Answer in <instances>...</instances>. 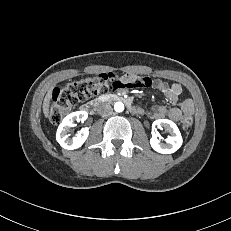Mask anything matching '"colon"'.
<instances>
[{
  "mask_svg": "<svg viewBox=\"0 0 231 231\" xmlns=\"http://www.w3.org/2000/svg\"><path fill=\"white\" fill-rule=\"evenodd\" d=\"M117 80H119V78L114 74L103 73L83 76L56 87L52 92L49 102L50 122L52 124H58L62 118L79 103L97 95L116 90ZM192 123V115L185 114L180 123L182 130L188 131Z\"/></svg>",
  "mask_w": 231,
  "mask_h": 231,
  "instance_id": "5ec220e1",
  "label": "colon"
}]
</instances>
